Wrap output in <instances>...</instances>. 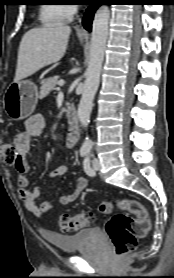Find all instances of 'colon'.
Returning <instances> with one entry per match:
<instances>
[{"label":"colon","instance_id":"obj_1","mask_svg":"<svg viewBox=\"0 0 174 278\" xmlns=\"http://www.w3.org/2000/svg\"><path fill=\"white\" fill-rule=\"evenodd\" d=\"M0 153L8 164H13L16 159L15 147L0 139ZM117 207L123 213L114 214L106 224V232L113 244L116 254L123 255L132 251L137 244V239L143 237L150 228L146 209L134 199L123 198L115 202L103 201L99 211L103 214L111 213ZM95 221V214L91 211H82L73 215H64L60 224L65 231H77L91 226Z\"/></svg>","mask_w":174,"mask_h":278}]
</instances>
